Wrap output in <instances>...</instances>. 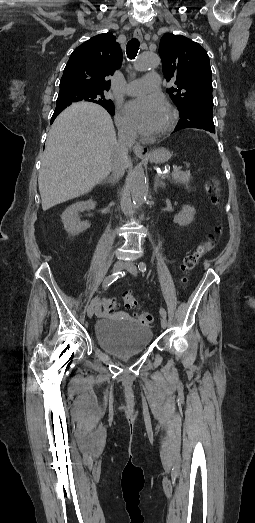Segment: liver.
I'll return each instance as SVG.
<instances>
[{
    "instance_id": "1",
    "label": "liver",
    "mask_w": 255,
    "mask_h": 523,
    "mask_svg": "<svg viewBox=\"0 0 255 523\" xmlns=\"http://www.w3.org/2000/svg\"><path fill=\"white\" fill-rule=\"evenodd\" d=\"M117 144L111 116L98 104L77 102L59 114L39 170L43 212L87 194L105 180L114 166Z\"/></svg>"
}]
</instances>
